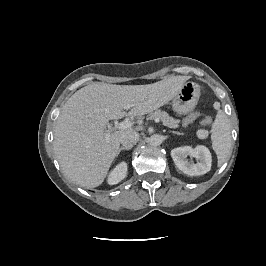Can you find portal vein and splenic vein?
<instances>
[{
  "mask_svg": "<svg viewBox=\"0 0 266 266\" xmlns=\"http://www.w3.org/2000/svg\"><path fill=\"white\" fill-rule=\"evenodd\" d=\"M131 108V105L130 104H127L125 106V109H130ZM155 122H160V119L159 118H156L155 119ZM133 126V122H131L130 120H124L120 123H116L114 127H108V130H107V133H106V138L108 139V137L110 136V133L113 132V131H116L118 129H128V128H131Z\"/></svg>",
  "mask_w": 266,
  "mask_h": 266,
  "instance_id": "18ae733b",
  "label": "portal vein and splenic vein"
}]
</instances>
